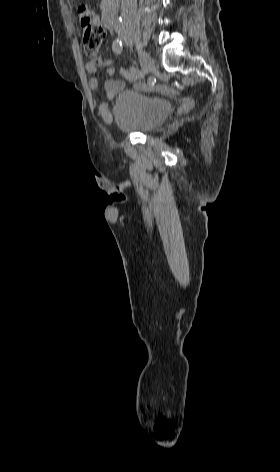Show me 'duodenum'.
Returning a JSON list of instances; mask_svg holds the SVG:
<instances>
[{"instance_id": "obj_1", "label": "duodenum", "mask_w": 280, "mask_h": 472, "mask_svg": "<svg viewBox=\"0 0 280 472\" xmlns=\"http://www.w3.org/2000/svg\"><path fill=\"white\" fill-rule=\"evenodd\" d=\"M118 12V0H110L103 13V23L107 28H112Z\"/></svg>"}]
</instances>
